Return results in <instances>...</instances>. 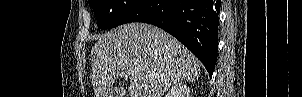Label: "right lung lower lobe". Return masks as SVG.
Instances as JSON below:
<instances>
[{"instance_id": "right-lung-lower-lobe-1", "label": "right lung lower lobe", "mask_w": 302, "mask_h": 97, "mask_svg": "<svg viewBox=\"0 0 302 97\" xmlns=\"http://www.w3.org/2000/svg\"><path fill=\"white\" fill-rule=\"evenodd\" d=\"M220 0H142L122 21L162 28L184 44L212 77L218 48Z\"/></svg>"}]
</instances>
